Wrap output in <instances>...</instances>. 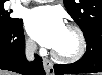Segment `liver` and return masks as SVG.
I'll use <instances>...</instances> for the list:
<instances>
[{"mask_svg":"<svg viewBox=\"0 0 102 75\" xmlns=\"http://www.w3.org/2000/svg\"><path fill=\"white\" fill-rule=\"evenodd\" d=\"M1 75H15V74H12L10 72L1 71Z\"/></svg>","mask_w":102,"mask_h":75,"instance_id":"1","label":"liver"}]
</instances>
